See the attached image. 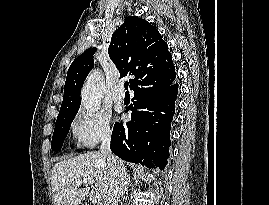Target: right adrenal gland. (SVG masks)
Listing matches in <instances>:
<instances>
[{
    "label": "right adrenal gland",
    "mask_w": 269,
    "mask_h": 205,
    "mask_svg": "<svg viewBox=\"0 0 269 205\" xmlns=\"http://www.w3.org/2000/svg\"><path fill=\"white\" fill-rule=\"evenodd\" d=\"M129 183H130V176H128V185H129Z\"/></svg>",
    "instance_id": "obj_1"
}]
</instances>
